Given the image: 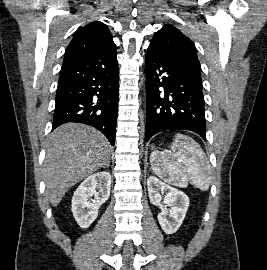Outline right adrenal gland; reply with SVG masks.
Masks as SVG:
<instances>
[{
  "label": "right adrenal gland",
  "mask_w": 267,
  "mask_h": 270,
  "mask_svg": "<svg viewBox=\"0 0 267 270\" xmlns=\"http://www.w3.org/2000/svg\"><path fill=\"white\" fill-rule=\"evenodd\" d=\"M109 168L110 167V163H107L106 165H105V168Z\"/></svg>",
  "instance_id": "right-adrenal-gland-1"
}]
</instances>
